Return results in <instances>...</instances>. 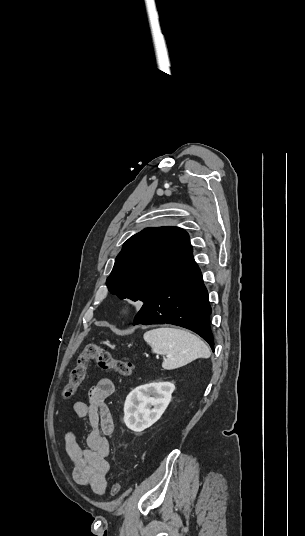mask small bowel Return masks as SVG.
<instances>
[{
	"instance_id": "obj_1",
	"label": "small bowel",
	"mask_w": 305,
	"mask_h": 536,
	"mask_svg": "<svg viewBox=\"0 0 305 536\" xmlns=\"http://www.w3.org/2000/svg\"><path fill=\"white\" fill-rule=\"evenodd\" d=\"M115 387L110 379L103 378L91 387L88 402L77 401L73 405L78 418H87L92 428L82 448L73 430L65 434V448L73 462V477L80 485L89 486L98 495L107 489V474L110 465L107 457L110 444L107 436L113 431V421L106 399L114 393Z\"/></svg>"
}]
</instances>
